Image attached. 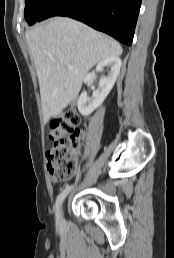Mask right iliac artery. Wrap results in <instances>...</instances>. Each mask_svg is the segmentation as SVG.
<instances>
[{
	"label": "right iliac artery",
	"mask_w": 174,
	"mask_h": 258,
	"mask_svg": "<svg viewBox=\"0 0 174 258\" xmlns=\"http://www.w3.org/2000/svg\"><path fill=\"white\" fill-rule=\"evenodd\" d=\"M71 189H72L71 185L66 186V188L58 195V197L56 199L55 211H56L57 221L59 220V209H60V206H61L64 198L68 195V193L70 192Z\"/></svg>",
	"instance_id": "82829eb1"
}]
</instances>
